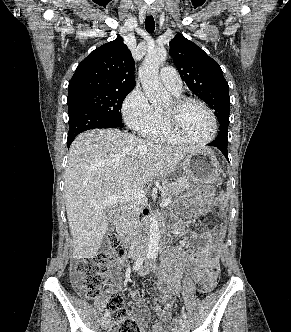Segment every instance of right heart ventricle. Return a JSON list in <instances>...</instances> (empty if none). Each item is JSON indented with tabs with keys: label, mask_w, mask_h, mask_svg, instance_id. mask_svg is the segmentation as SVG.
I'll use <instances>...</instances> for the list:
<instances>
[{
	"label": "right heart ventricle",
	"mask_w": 291,
	"mask_h": 332,
	"mask_svg": "<svg viewBox=\"0 0 291 332\" xmlns=\"http://www.w3.org/2000/svg\"><path fill=\"white\" fill-rule=\"evenodd\" d=\"M176 95L179 96V94ZM155 114L156 124L142 133L147 139L168 144L185 143L184 140L178 138L169 130L161 108H155Z\"/></svg>",
	"instance_id": "right-heart-ventricle-1"
}]
</instances>
